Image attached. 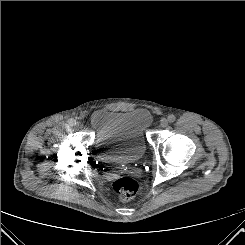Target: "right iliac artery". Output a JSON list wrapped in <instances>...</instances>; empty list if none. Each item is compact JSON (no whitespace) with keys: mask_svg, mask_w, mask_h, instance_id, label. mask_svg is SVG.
I'll return each instance as SVG.
<instances>
[{"mask_svg":"<svg viewBox=\"0 0 245 245\" xmlns=\"http://www.w3.org/2000/svg\"><path fill=\"white\" fill-rule=\"evenodd\" d=\"M68 124H69L70 126H74V125L76 124V120H75L74 118H70V119L68 120Z\"/></svg>","mask_w":245,"mask_h":245,"instance_id":"right-iliac-artery-1","label":"right iliac artery"}]
</instances>
